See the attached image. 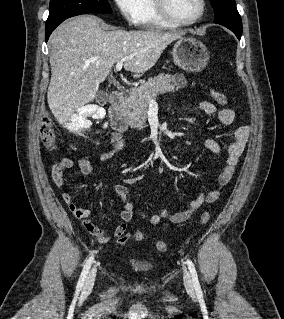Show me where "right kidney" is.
<instances>
[{"instance_id":"right-kidney-1","label":"right kidney","mask_w":284,"mask_h":319,"mask_svg":"<svg viewBox=\"0 0 284 319\" xmlns=\"http://www.w3.org/2000/svg\"><path fill=\"white\" fill-rule=\"evenodd\" d=\"M89 116H95L97 118L102 119L105 116V111L101 108L92 105L83 106L79 108L77 113L71 117V121L68 125V128L71 131L77 132L79 135H82L81 130L84 127L90 125L89 121L87 120V117Z\"/></svg>"}]
</instances>
